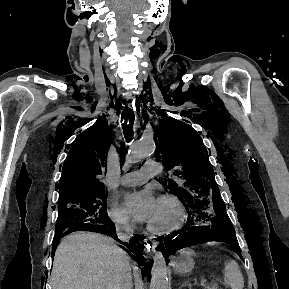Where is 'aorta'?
<instances>
[{"label": "aorta", "instance_id": "1", "mask_svg": "<svg viewBox=\"0 0 289 289\" xmlns=\"http://www.w3.org/2000/svg\"><path fill=\"white\" fill-rule=\"evenodd\" d=\"M155 153V143L151 137H142L133 143L128 154L127 163L135 164L150 158ZM150 289H168L166 261L162 253L154 258L151 270Z\"/></svg>", "mask_w": 289, "mask_h": 289}]
</instances>
